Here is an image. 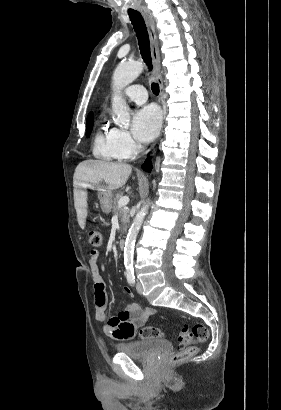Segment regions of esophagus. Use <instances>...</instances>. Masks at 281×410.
<instances>
[{
	"mask_svg": "<svg viewBox=\"0 0 281 410\" xmlns=\"http://www.w3.org/2000/svg\"><path fill=\"white\" fill-rule=\"evenodd\" d=\"M142 16L147 25L149 38H150V45H151V54L153 59L154 65V78L159 84L160 87V102L164 104V85L162 79V72H161V59H160V51H159V43H158V36L156 32L155 22L153 17L148 9H141L140 10Z\"/></svg>",
	"mask_w": 281,
	"mask_h": 410,
	"instance_id": "1",
	"label": "esophagus"
}]
</instances>
